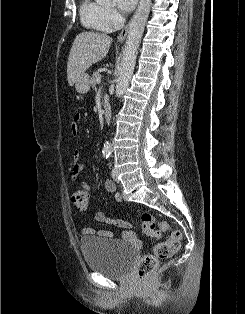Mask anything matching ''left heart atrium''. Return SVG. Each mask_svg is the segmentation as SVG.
I'll list each match as a JSON object with an SVG mask.
<instances>
[{"label": "left heart atrium", "instance_id": "left-heart-atrium-1", "mask_svg": "<svg viewBox=\"0 0 245 314\" xmlns=\"http://www.w3.org/2000/svg\"><path fill=\"white\" fill-rule=\"evenodd\" d=\"M137 0H116V4L118 8L123 12H129L131 11Z\"/></svg>", "mask_w": 245, "mask_h": 314}]
</instances>
